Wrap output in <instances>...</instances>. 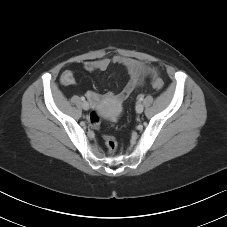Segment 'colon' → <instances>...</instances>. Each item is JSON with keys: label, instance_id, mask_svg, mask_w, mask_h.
Instances as JSON below:
<instances>
[{"label": "colon", "instance_id": "5ec220e1", "mask_svg": "<svg viewBox=\"0 0 227 227\" xmlns=\"http://www.w3.org/2000/svg\"><path fill=\"white\" fill-rule=\"evenodd\" d=\"M152 85L156 90H161L164 86L163 81L159 77H155L152 81ZM89 124L94 129H99L101 125V117L97 111H94L89 116ZM106 147L109 153L113 154L117 149V142L111 135L104 136Z\"/></svg>", "mask_w": 227, "mask_h": 227}]
</instances>
